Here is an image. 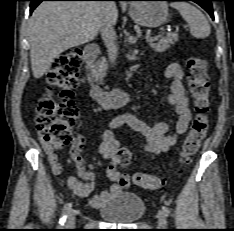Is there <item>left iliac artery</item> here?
I'll use <instances>...</instances> for the list:
<instances>
[{
	"label": "left iliac artery",
	"mask_w": 234,
	"mask_h": 231,
	"mask_svg": "<svg viewBox=\"0 0 234 231\" xmlns=\"http://www.w3.org/2000/svg\"><path fill=\"white\" fill-rule=\"evenodd\" d=\"M162 211L164 212V214H165L166 216H169V214H170V210H169V208H168V207L163 206V207H162Z\"/></svg>",
	"instance_id": "44dca946"
}]
</instances>
